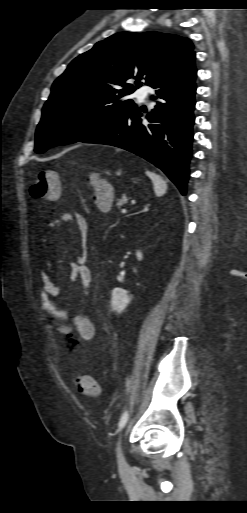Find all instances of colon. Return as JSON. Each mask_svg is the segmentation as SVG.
<instances>
[{"mask_svg":"<svg viewBox=\"0 0 247 513\" xmlns=\"http://www.w3.org/2000/svg\"><path fill=\"white\" fill-rule=\"evenodd\" d=\"M90 192L94 195L95 202L101 210L111 207L114 192L107 181H102L98 176H92ZM61 193V182L57 172L52 170L41 171L37 174L30 187V194L35 199L49 201L57 200ZM77 389L87 396H96L99 386L94 378L88 375H77L74 379Z\"/></svg>","mask_w":247,"mask_h":513,"instance_id":"obj_1","label":"colon"}]
</instances>
